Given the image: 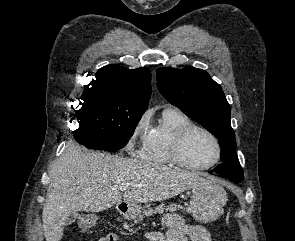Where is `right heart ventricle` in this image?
<instances>
[{"label":"right heart ventricle","instance_id":"right-heart-ventricle-1","mask_svg":"<svg viewBox=\"0 0 295 241\" xmlns=\"http://www.w3.org/2000/svg\"><path fill=\"white\" fill-rule=\"evenodd\" d=\"M192 124L191 119L177 108H166L158 123L151 126L150 132L138 156L149 163L171 165L170 145L179 130Z\"/></svg>","mask_w":295,"mask_h":241}]
</instances>
